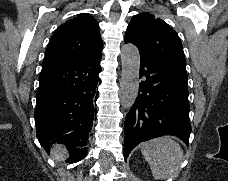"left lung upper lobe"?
Returning a JSON list of instances; mask_svg holds the SVG:
<instances>
[{
  "instance_id": "obj_1",
  "label": "left lung upper lobe",
  "mask_w": 228,
  "mask_h": 181,
  "mask_svg": "<svg viewBox=\"0 0 228 181\" xmlns=\"http://www.w3.org/2000/svg\"><path fill=\"white\" fill-rule=\"evenodd\" d=\"M132 43L140 54L165 59L185 67L181 40L163 20L150 13L135 15L125 35V43Z\"/></svg>"
}]
</instances>
